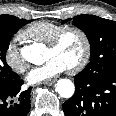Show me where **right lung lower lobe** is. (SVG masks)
Listing matches in <instances>:
<instances>
[{
    "instance_id": "1",
    "label": "right lung lower lobe",
    "mask_w": 116,
    "mask_h": 116,
    "mask_svg": "<svg viewBox=\"0 0 116 116\" xmlns=\"http://www.w3.org/2000/svg\"><path fill=\"white\" fill-rule=\"evenodd\" d=\"M23 83L18 76L12 83L0 85V116H27L30 111L31 87L21 91Z\"/></svg>"
}]
</instances>
